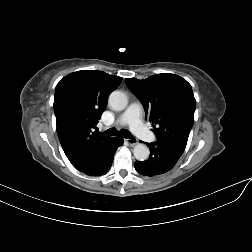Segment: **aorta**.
I'll use <instances>...</instances> for the list:
<instances>
[{"label":"aorta","mask_w":252,"mask_h":252,"mask_svg":"<svg viewBox=\"0 0 252 252\" xmlns=\"http://www.w3.org/2000/svg\"><path fill=\"white\" fill-rule=\"evenodd\" d=\"M109 106L115 111L123 110L128 103L127 96L121 91H113L108 100ZM134 157L144 161L149 157V148L145 144H137L133 148Z\"/></svg>","instance_id":"1"}]
</instances>
